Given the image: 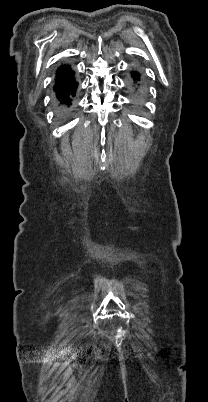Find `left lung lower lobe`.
<instances>
[{
  "label": "left lung lower lobe",
  "mask_w": 208,
  "mask_h": 402,
  "mask_svg": "<svg viewBox=\"0 0 208 402\" xmlns=\"http://www.w3.org/2000/svg\"><path fill=\"white\" fill-rule=\"evenodd\" d=\"M144 90L143 82L140 73L137 70L131 71V91L137 98L141 97Z\"/></svg>",
  "instance_id": "obj_1"
}]
</instances>
